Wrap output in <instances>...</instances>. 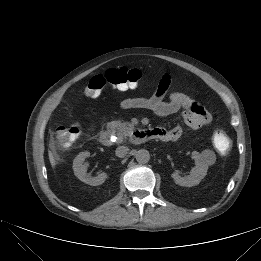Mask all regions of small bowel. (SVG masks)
<instances>
[{
    "instance_id": "obj_1",
    "label": "small bowel",
    "mask_w": 261,
    "mask_h": 261,
    "mask_svg": "<svg viewBox=\"0 0 261 261\" xmlns=\"http://www.w3.org/2000/svg\"><path fill=\"white\" fill-rule=\"evenodd\" d=\"M171 84V76L164 74L154 93L149 97H131L123 99L119 103L121 110L128 109H147L154 112L159 117H166L171 114L180 112L185 124L192 129L207 127L212 122L211 114L198 102L194 101L187 95L180 92H173L169 100L165 101L164 97ZM137 85H122L114 87L118 91L133 90ZM158 139L162 141H176L182 133L181 126H175L171 129L164 127L156 128Z\"/></svg>"
}]
</instances>
